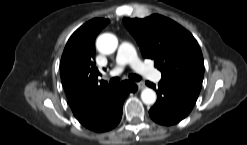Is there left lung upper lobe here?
Listing matches in <instances>:
<instances>
[{
    "label": "left lung upper lobe",
    "instance_id": "left-lung-upper-lobe-1",
    "mask_svg": "<svg viewBox=\"0 0 247 145\" xmlns=\"http://www.w3.org/2000/svg\"><path fill=\"white\" fill-rule=\"evenodd\" d=\"M136 39L144 58H151L162 79L179 82L198 92L204 77L201 49L186 29L161 15L123 19Z\"/></svg>",
    "mask_w": 247,
    "mask_h": 145
}]
</instances>
